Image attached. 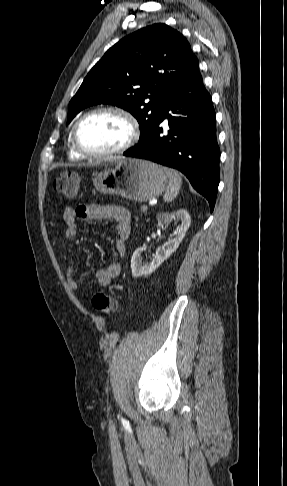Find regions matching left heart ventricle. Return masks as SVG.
Listing matches in <instances>:
<instances>
[{
    "label": "left heart ventricle",
    "mask_w": 287,
    "mask_h": 486,
    "mask_svg": "<svg viewBox=\"0 0 287 486\" xmlns=\"http://www.w3.org/2000/svg\"><path fill=\"white\" fill-rule=\"evenodd\" d=\"M126 121L112 113H102L88 118L81 125V145L92 152H104L121 146L128 138Z\"/></svg>",
    "instance_id": "1"
}]
</instances>
